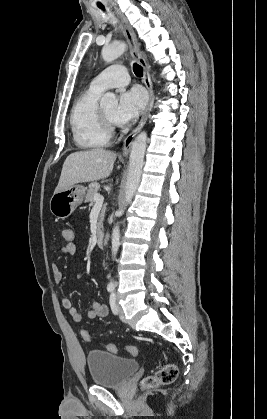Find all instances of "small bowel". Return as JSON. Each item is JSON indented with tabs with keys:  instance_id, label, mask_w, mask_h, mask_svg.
Segmentation results:
<instances>
[{
	"instance_id": "c3829d8e",
	"label": "small bowel",
	"mask_w": 267,
	"mask_h": 419,
	"mask_svg": "<svg viewBox=\"0 0 267 419\" xmlns=\"http://www.w3.org/2000/svg\"><path fill=\"white\" fill-rule=\"evenodd\" d=\"M77 251V247L76 245H68L65 244L61 249H60V253L61 254H69V255H73L75 254ZM51 271H52V275H53V279L56 283H60L63 280V274L61 269L59 268V266L56 263H53L51 266ZM61 304L63 306V308H65L69 315L71 316V318L75 321V322H79L82 320V315L81 313L73 306L72 301L70 300V298L68 297H63L61 300ZM108 315V308L106 305L101 304L99 302H91L88 310H87V317L90 319H95V318H103L106 317Z\"/></svg>"
}]
</instances>
